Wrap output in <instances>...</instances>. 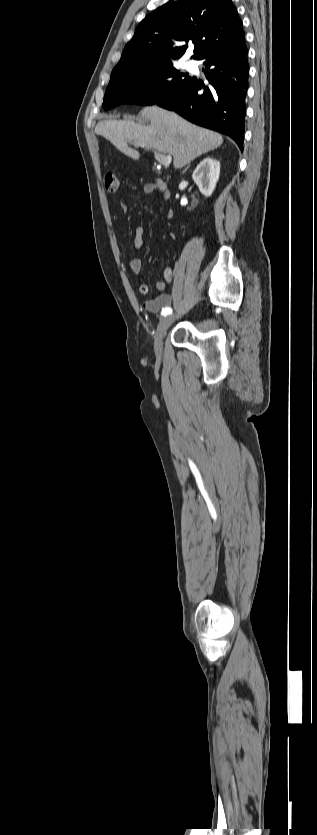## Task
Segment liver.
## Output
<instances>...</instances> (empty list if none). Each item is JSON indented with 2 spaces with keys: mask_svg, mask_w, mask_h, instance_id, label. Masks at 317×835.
I'll return each mask as SVG.
<instances>
[{
  "mask_svg": "<svg viewBox=\"0 0 317 835\" xmlns=\"http://www.w3.org/2000/svg\"><path fill=\"white\" fill-rule=\"evenodd\" d=\"M140 116L149 120L150 124L144 125L130 119H107L97 123L95 133L135 160L139 159L140 154L128 146L129 142L146 150L168 153L173 156L175 169L183 168L223 143L220 134L196 126L176 113L157 106L143 108Z\"/></svg>",
  "mask_w": 317,
  "mask_h": 835,
  "instance_id": "6515ba94",
  "label": "liver"
}]
</instances>
